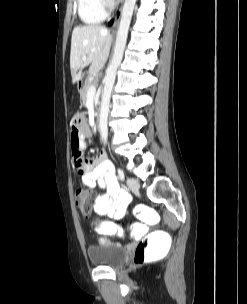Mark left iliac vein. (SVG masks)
Returning a JSON list of instances; mask_svg holds the SVG:
<instances>
[{
	"instance_id": "obj_1",
	"label": "left iliac vein",
	"mask_w": 247,
	"mask_h": 304,
	"mask_svg": "<svg viewBox=\"0 0 247 304\" xmlns=\"http://www.w3.org/2000/svg\"><path fill=\"white\" fill-rule=\"evenodd\" d=\"M127 185L129 187V189L133 192H137L140 188V184H139L138 180L135 178H128Z\"/></svg>"
}]
</instances>
